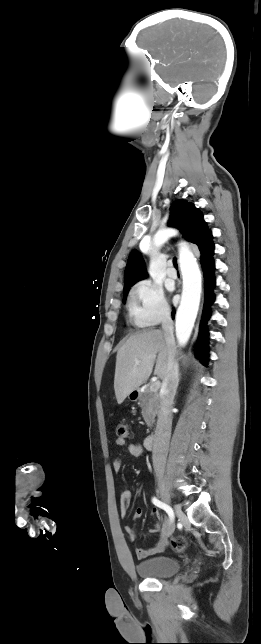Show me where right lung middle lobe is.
<instances>
[{
  "instance_id": "1",
  "label": "right lung middle lobe",
  "mask_w": 261,
  "mask_h": 644,
  "mask_svg": "<svg viewBox=\"0 0 261 644\" xmlns=\"http://www.w3.org/2000/svg\"><path fill=\"white\" fill-rule=\"evenodd\" d=\"M129 288H130V287H128L127 289H124L123 303H125V301H126V297H127V294H128Z\"/></svg>"
}]
</instances>
